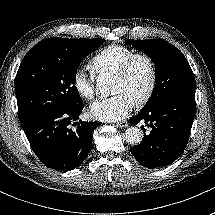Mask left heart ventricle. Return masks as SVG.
<instances>
[{
    "instance_id": "1",
    "label": "left heart ventricle",
    "mask_w": 215,
    "mask_h": 215,
    "mask_svg": "<svg viewBox=\"0 0 215 215\" xmlns=\"http://www.w3.org/2000/svg\"><path fill=\"white\" fill-rule=\"evenodd\" d=\"M148 81V65L144 60L139 59L134 62L126 77H113L111 93H123L135 103L144 95L148 86Z\"/></svg>"
}]
</instances>
